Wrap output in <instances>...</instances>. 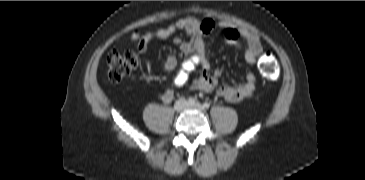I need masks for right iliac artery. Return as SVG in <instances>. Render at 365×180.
Here are the masks:
<instances>
[{"label": "right iliac artery", "instance_id": "right-iliac-artery-1", "mask_svg": "<svg viewBox=\"0 0 365 180\" xmlns=\"http://www.w3.org/2000/svg\"><path fill=\"white\" fill-rule=\"evenodd\" d=\"M187 102L189 105H194L196 103L195 99H193V98H189Z\"/></svg>", "mask_w": 365, "mask_h": 180}]
</instances>
